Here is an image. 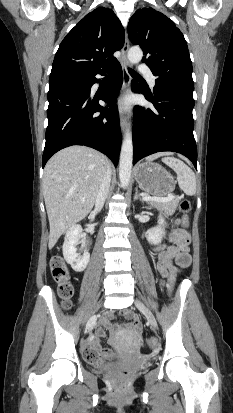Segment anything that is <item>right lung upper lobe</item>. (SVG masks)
<instances>
[{"label":"right lung upper lobe","instance_id":"cb5924a9","mask_svg":"<svg viewBox=\"0 0 233 413\" xmlns=\"http://www.w3.org/2000/svg\"><path fill=\"white\" fill-rule=\"evenodd\" d=\"M124 45V29L114 14L100 7L87 14L63 39L49 81L80 76L109 67Z\"/></svg>","mask_w":233,"mask_h":413}]
</instances>
